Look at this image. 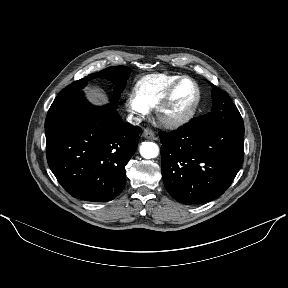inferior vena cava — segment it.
I'll list each match as a JSON object with an SVG mask.
<instances>
[{
  "label": "inferior vena cava",
  "instance_id": "obj_1",
  "mask_svg": "<svg viewBox=\"0 0 288 288\" xmlns=\"http://www.w3.org/2000/svg\"><path fill=\"white\" fill-rule=\"evenodd\" d=\"M127 121L133 125H137L141 123V119L138 117H134L132 115H128Z\"/></svg>",
  "mask_w": 288,
  "mask_h": 288
}]
</instances>
